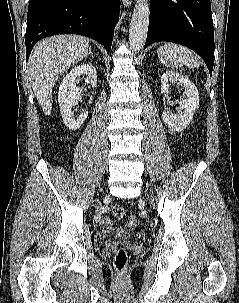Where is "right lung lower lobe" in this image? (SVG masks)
Segmentation results:
<instances>
[{"mask_svg": "<svg viewBox=\"0 0 239 303\" xmlns=\"http://www.w3.org/2000/svg\"><path fill=\"white\" fill-rule=\"evenodd\" d=\"M120 0H30L25 36L26 60L42 38L79 34L110 51L119 19Z\"/></svg>", "mask_w": 239, "mask_h": 303, "instance_id": "right-lung-lower-lobe-1", "label": "right lung lower lobe"}]
</instances>
